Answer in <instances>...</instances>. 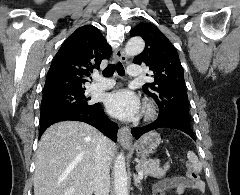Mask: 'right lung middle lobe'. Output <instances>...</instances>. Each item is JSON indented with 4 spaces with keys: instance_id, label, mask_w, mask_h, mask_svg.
<instances>
[{
    "instance_id": "1",
    "label": "right lung middle lobe",
    "mask_w": 240,
    "mask_h": 195,
    "mask_svg": "<svg viewBox=\"0 0 240 195\" xmlns=\"http://www.w3.org/2000/svg\"><path fill=\"white\" fill-rule=\"evenodd\" d=\"M85 89H72L43 95L41 112L55 108L95 107L99 103H89L84 95Z\"/></svg>"
}]
</instances>
